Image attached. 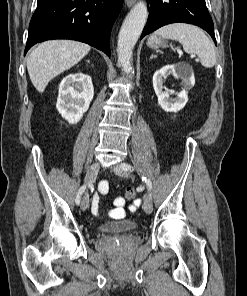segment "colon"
Listing matches in <instances>:
<instances>
[{
	"instance_id": "colon-1",
	"label": "colon",
	"mask_w": 247,
	"mask_h": 296,
	"mask_svg": "<svg viewBox=\"0 0 247 296\" xmlns=\"http://www.w3.org/2000/svg\"><path fill=\"white\" fill-rule=\"evenodd\" d=\"M135 195H136L135 190L133 188H128L125 195H124V198H122V200L117 199L115 202H116V204L121 205L122 203H125V201L133 200L135 198ZM121 216H123L122 211H117L114 213V218H119Z\"/></svg>"
}]
</instances>
